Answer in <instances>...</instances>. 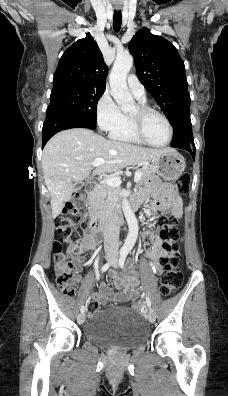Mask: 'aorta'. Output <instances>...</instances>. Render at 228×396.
<instances>
[{"mask_svg": "<svg viewBox=\"0 0 228 396\" xmlns=\"http://www.w3.org/2000/svg\"><path fill=\"white\" fill-rule=\"evenodd\" d=\"M133 65V57L130 54L117 55L109 76L111 93L122 111H129L134 105V99L130 94L126 82L127 74ZM122 210L128 224V235L122 247L123 251L129 252L138 236V222L128 200L123 198Z\"/></svg>", "mask_w": 228, "mask_h": 396, "instance_id": "762f6f07", "label": "aorta"}]
</instances>
